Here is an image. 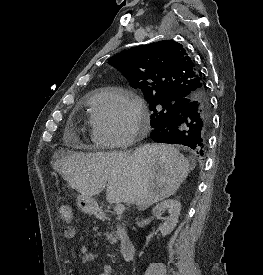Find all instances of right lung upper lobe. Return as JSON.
<instances>
[{
  "label": "right lung upper lobe",
  "mask_w": 263,
  "mask_h": 275,
  "mask_svg": "<svg viewBox=\"0 0 263 275\" xmlns=\"http://www.w3.org/2000/svg\"><path fill=\"white\" fill-rule=\"evenodd\" d=\"M145 97L189 100L205 89L200 74L183 46L173 40L137 46L109 59Z\"/></svg>",
  "instance_id": "cb5924a9"
}]
</instances>
